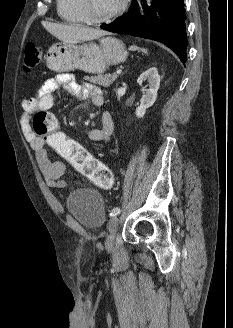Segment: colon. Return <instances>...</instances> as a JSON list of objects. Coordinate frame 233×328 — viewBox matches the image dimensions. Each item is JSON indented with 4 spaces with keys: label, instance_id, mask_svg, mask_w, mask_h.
<instances>
[{
    "label": "colon",
    "instance_id": "1",
    "mask_svg": "<svg viewBox=\"0 0 233 328\" xmlns=\"http://www.w3.org/2000/svg\"><path fill=\"white\" fill-rule=\"evenodd\" d=\"M41 48L33 43L25 47L23 69L33 71L41 60ZM32 126L35 135L43 139L65 160L98 187L109 190L113 187L114 177L111 170L91 155L83 146L67 137L59 130L56 116L48 111H38L33 115Z\"/></svg>",
    "mask_w": 233,
    "mask_h": 328
}]
</instances>
